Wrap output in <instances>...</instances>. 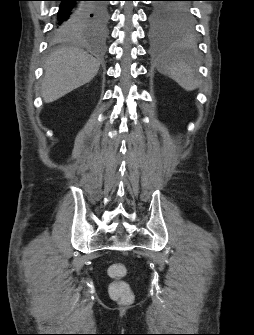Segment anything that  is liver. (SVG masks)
<instances>
[{
    "mask_svg": "<svg viewBox=\"0 0 254 335\" xmlns=\"http://www.w3.org/2000/svg\"><path fill=\"white\" fill-rule=\"evenodd\" d=\"M100 63L86 51L76 47L56 49L46 61L41 87L44 102L56 101L74 89L90 82Z\"/></svg>",
    "mask_w": 254,
    "mask_h": 335,
    "instance_id": "6515ba94",
    "label": "liver"
}]
</instances>
